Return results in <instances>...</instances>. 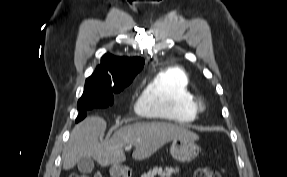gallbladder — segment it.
Returning a JSON list of instances; mask_svg holds the SVG:
<instances>
[{"label": "gallbladder", "instance_id": "1", "mask_svg": "<svg viewBox=\"0 0 287 177\" xmlns=\"http://www.w3.org/2000/svg\"><path fill=\"white\" fill-rule=\"evenodd\" d=\"M77 167L81 173H91L94 169V160L91 157H83L78 161Z\"/></svg>", "mask_w": 287, "mask_h": 177}]
</instances>
